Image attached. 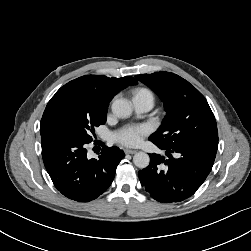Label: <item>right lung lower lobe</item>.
<instances>
[{
  "label": "right lung lower lobe",
  "mask_w": 251,
  "mask_h": 251,
  "mask_svg": "<svg viewBox=\"0 0 251 251\" xmlns=\"http://www.w3.org/2000/svg\"><path fill=\"white\" fill-rule=\"evenodd\" d=\"M87 144L64 134L41 136L43 162L53 184L78 202L91 201L105 192L125 156L117 147L104 146L97 159H88Z\"/></svg>",
  "instance_id": "obj_1"
}]
</instances>
